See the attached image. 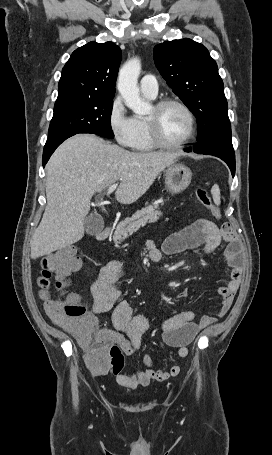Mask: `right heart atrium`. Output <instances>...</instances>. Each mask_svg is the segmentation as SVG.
<instances>
[{"label": "right heart atrium", "mask_w": 272, "mask_h": 455, "mask_svg": "<svg viewBox=\"0 0 272 455\" xmlns=\"http://www.w3.org/2000/svg\"><path fill=\"white\" fill-rule=\"evenodd\" d=\"M108 125L114 140L121 146L130 147L134 133V118L129 116L122 99L115 97L108 112Z\"/></svg>", "instance_id": "d8ad5b80"}]
</instances>
